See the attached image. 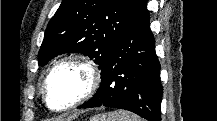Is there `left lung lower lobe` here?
Here are the masks:
<instances>
[{
    "mask_svg": "<svg viewBox=\"0 0 217 121\" xmlns=\"http://www.w3.org/2000/svg\"><path fill=\"white\" fill-rule=\"evenodd\" d=\"M101 79L95 95L78 108L115 107L132 111L148 121H161L163 88L147 0H142L109 54Z\"/></svg>",
    "mask_w": 217,
    "mask_h": 121,
    "instance_id": "obj_1",
    "label": "left lung lower lobe"
}]
</instances>
